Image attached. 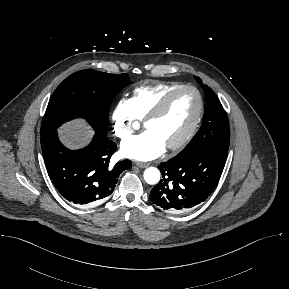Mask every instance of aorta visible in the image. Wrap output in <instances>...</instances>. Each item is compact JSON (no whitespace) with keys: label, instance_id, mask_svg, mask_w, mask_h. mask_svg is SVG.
<instances>
[{"label":"aorta","instance_id":"aorta-1","mask_svg":"<svg viewBox=\"0 0 289 289\" xmlns=\"http://www.w3.org/2000/svg\"><path fill=\"white\" fill-rule=\"evenodd\" d=\"M144 179L148 184L154 185L160 180V171L155 167H149L144 171Z\"/></svg>","mask_w":289,"mask_h":289}]
</instances>
